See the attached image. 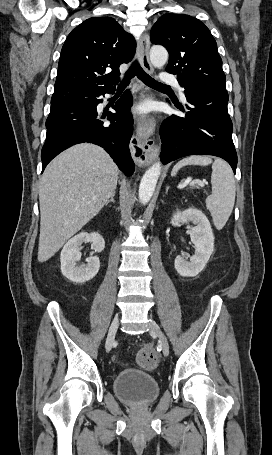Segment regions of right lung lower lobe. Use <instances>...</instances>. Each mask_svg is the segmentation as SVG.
<instances>
[{
  "label": "right lung lower lobe",
  "mask_w": 272,
  "mask_h": 455,
  "mask_svg": "<svg viewBox=\"0 0 272 455\" xmlns=\"http://www.w3.org/2000/svg\"><path fill=\"white\" fill-rule=\"evenodd\" d=\"M114 90L115 87L51 107L46 120V141L41 153L42 172L63 150L77 143L90 142L103 147L126 176L133 174L134 162L129 151L133 132L129 90L113 106L116 113L99 116L96 110V106L103 101L99 96L112 94ZM104 118L111 123L103 122L101 119Z\"/></svg>",
  "instance_id": "right-lung-lower-lobe-1"
}]
</instances>
